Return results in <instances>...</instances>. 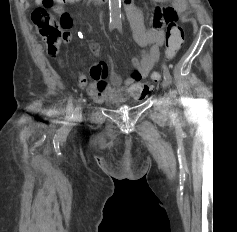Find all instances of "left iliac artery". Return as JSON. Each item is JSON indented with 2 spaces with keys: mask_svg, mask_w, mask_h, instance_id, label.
I'll list each match as a JSON object with an SVG mask.
<instances>
[{
  "mask_svg": "<svg viewBox=\"0 0 237 232\" xmlns=\"http://www.w3.org/2000/svg\"><path fill=\"white\" fill-rule=\"evenodd\" d=\"M117 28H118L119 31H122V25L121 24H118ZM163 74H164V78L167 79L169 81V83H172V78H171L170 72L166 67L164 68V73Z\"/></svg>",
  "mask_w": 237,
  "mask_h": 232,
  "instance_id": "1",
  "label": "left iliac artery"
}]
</instances>
